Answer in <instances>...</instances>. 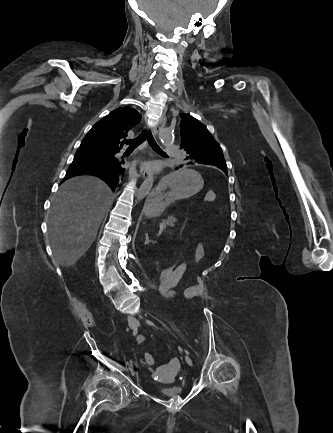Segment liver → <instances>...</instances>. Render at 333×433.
<instances>
[{
  "instance_id": "obj_1",
  "label": "liver",
  "mask_w": 333,
  "mask_h": 433,
  "mask_svg": "<svg viewBox=\"0 0 333 433\" xmlns=\"http://www.w3.org/2000/svg\"><path fill=\"white\" fill-rule=\"evenodd\" d=\"M114 200L111 189L94 176L64 182L49 211V239L55 261L73 266L95 241L100 224Z\"/></svg>"
}]
</instances>
